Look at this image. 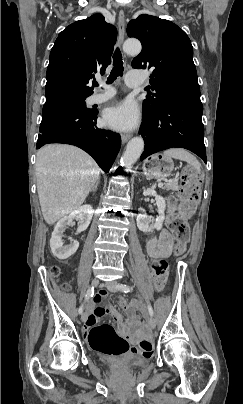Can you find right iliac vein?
I'll return each instance as SVG.
<instances>
[{
    "label": "right iliac vein",
    "mask_w": 243,
    "mask_h": 404,
    "mask_svg": "<svg viewBox=\"0 0 243 404\" xmlns=\"http://www.w3.org/2000/svg\"><path fill=\"white\" fill-rule=\"evenodd\" d=\"M98 284H99L98 278H94V279L92 280L91 285L96 287ZM86 318H87L86 312L82 313V315H81V320L84 322V321L86 320Z\"/></svg>",
    "instance_id": "1"
}]
</instances>
